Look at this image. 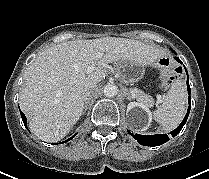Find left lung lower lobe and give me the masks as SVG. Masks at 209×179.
I'll return each instance as SVG.
<instances>
[{"label":"left lung lower lobe","mask_w":209,"mask_h":179,"mask_svg":"<svg viewBox=\"0 0 209 179\" xmlns=\"http://www.w3.org/2000/svg\"><path fill=\"white\" fill-rule=\"evenodd\" d=\"M174 52V51H173ZM175 53V52H174ZM175 59L182 64L181 60L178 57H175ZM185 67V66H184ZM186 70V67H185ZM187 76H188V72L186 70ZM187 90H188V101H189V107L187 110V114L185 115L183 121L181 122V124L173 131L170 132V134L175 137L182 129V127L184 126V124L187 121V118L189 116V112H190V108H191V97H190V86H189V79H187ZM128 133L134 137L135 140H137L141 145L144 146H159L162 145L164 143H166L169 140V135L167 134H157V135H151V136H144V135H140V134H133L128 130Z\"/></svg>","instance_id":"0a47b994"}]
</instances>
